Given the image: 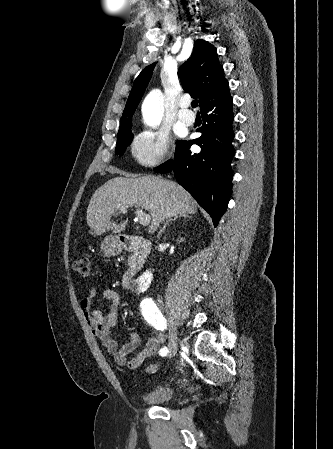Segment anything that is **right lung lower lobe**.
<instances>
[{"label": "right lung lower lobe", "instance_id": "1", "mask_svg": "<svg viewBox=\"0 0 333 449\" xmlns=\"http://www.w3.org/2000/svg\"><path fill=\"white\" fill-rule=\"evenodd\" d=\"M232 104L229 88L203 103L201 114L204 122L197 129L202 133L201 137L179 141L174 159L154 169L157 173L173 171L178 183L210 214L215 227L227 209L232 192ZM192 144L200 146L201 152L191 153Z\"/></svg>", "mask_w": 333, "mask_h": 449}]
</instances>
